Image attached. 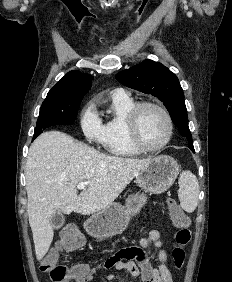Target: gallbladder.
I'll list each match as a JSON object with an SVG mask.
<instances>
[{
	"label": "gallbladder",
	"mask_w": 232,
	"mask_h": 282,
	"mask_svg": "<svg viewBox=\"0 0 232 282\" xmlns=\"http://www.w3.org/2000/svg\"><path fill=\"white\" fill-rule=\"evenodd\" d=\"M65 223V216L61 212H55L51 218V225L54 229H58Z\"/></svg>",
	"instance_id": "bac80fb5"
}]
</instances>
